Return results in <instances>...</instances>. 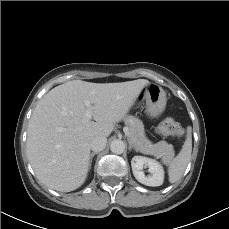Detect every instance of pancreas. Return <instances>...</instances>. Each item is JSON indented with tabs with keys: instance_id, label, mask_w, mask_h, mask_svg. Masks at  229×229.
I'll use <instances>...</instances> for the list:
<instances>
[{
	"instance_id": "1",
	"label": "pancreas",
	"mask_w": 229,
	"mask_h": 229,
	"mask_svg": "<svg viewBox=\"0 0 229 229\" xmlns=\"http://www.w3.org/2000/svg\"><path fill=\"white\" fill-rule=\"evenodd\" d=\"M125 124L129 129V140L135 149L143 154L162 158L165 162H169L173 158L175 154L173 145L168 144L166 141L152 144L145 135L144 125L141 120L133 116H128L125 119Z\"/></svg>"
}]
</instances>
